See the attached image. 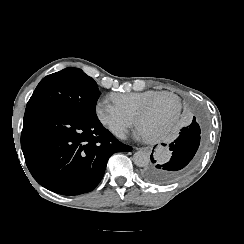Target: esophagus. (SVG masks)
<instances>
[{"label": "esophagus", "mask_w": 244, "mask_h": 244, "mask_svg": "<svg viewBox=\"0 0 244 244\" xmlns=\"http://www.w3.org/2000/svg\"><path fill=\"white\" fill-rule=\"evenodd\" d=\"M138 150H143L145 152H151L153 147L152 146H146V147H140V148H137Z\"/></svg>", "instance_id": "1"}]
</instances>
